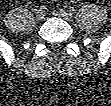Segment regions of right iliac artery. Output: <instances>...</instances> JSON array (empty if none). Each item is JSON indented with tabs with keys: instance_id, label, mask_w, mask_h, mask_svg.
<instances>
[{
	"instance_id": "1",
	"label": "right iliac artery",
	"mask_w": 111,
	"mask_h": 106,
	"mask_svg": "<svg viewBox=\"0 0 111 106\" xmlns=\"http://www.w3.org/2000/svg\"><path fill=\"white\" fill-rule=\"evenodd\" d=\"M46 10H47V7H46V6H41V7H40V11L44 12V11H46Z\"/></svg>"
}]
</instances>
